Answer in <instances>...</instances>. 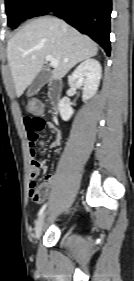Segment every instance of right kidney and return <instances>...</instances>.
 I'll return each instance as SVG.
<instances>
[{"label":"right kidney","mask_w":134,"mask_h":281,"mask_svg":"<svg viewBox=\"0 0 134 281\" xmlns=\"http://www.w3.org/2000/svg\"><path fill=\"white\" fill-rule=\"evenodd\" d=\"M101 65L95 59H87L82 62L69 78V85L83 89V100L92 98L98 90L101 79ZM61 118L68 121L74 113L70 99L63 97L59 103Z\"/></svg>","instance_id":"ca27d5eb"}]
</instances>
